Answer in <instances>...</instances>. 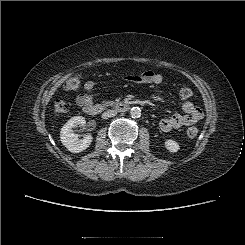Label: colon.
<instances>
[{
  "mask_svg": "<svg viewBox=\"0 0 245 245\" xmlns=\"http://www.w3.org/2000/svg\"><path fill=\"white\" fill-rule=\"evenodd\" d=\"M83 79L82 76L78 73L72 75L65 83V89L69 91H79L82 88ZM193 92L188 87H183L179 91V95L182 99H188L192 96ZM54 112L56 114H64L68 111L69 105L65 100L58 99L54 103ZM198 134V130L195 127L187 128L185 131V135L188 138H194Z\"/></svg>",
  "mask_w": 245,
  "mask_h": 245,
  "instance_id": "obj_1",
  "label": "colon"
}]
</instances>
